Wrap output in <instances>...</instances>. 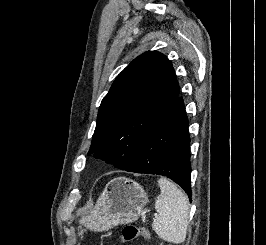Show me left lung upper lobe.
<instances>
[{"label": "left lung upper lobe", "mask_w": 266, "mask_h": 245, "mask_svg": "<svg viewBox=\"0 0 266 245\" xmlns=\"http://www.w3.org/2000/svg\"><path fill=\"white\" fill-rule=\"evenodd\" d=\"M179 95L171 62L157 51L134 59L101 102L88 155L125 170L142 136Z\"/></svg>", "instance_id": "obj_1"}]
</instances>
